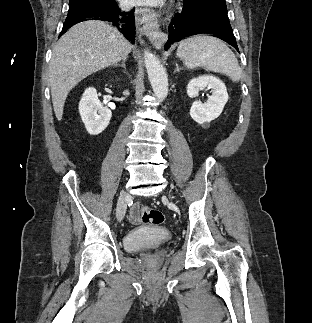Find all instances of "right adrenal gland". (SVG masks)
<instances>
[{"label": "right adrenal gland", "instance_id": "1", "mask_svg": "<svg viewBox=\"0 0 312 323\" xmlns=\"http://www.w3.org/2000/svg\"><path fill=\"white\" fill-rule=\"evenodd\" d=\"M126 60H127V58H125V60H123L122 64H116V66H122V68H125V70H126V66H125Z\"/></svg>", "mask_w": 312, "mask_h": 323}]
</instances>
